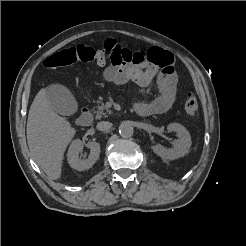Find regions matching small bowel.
<instances>
[{
	"mask_svg": "<svg viewBox=\"0 0 246 246\" xmlns=\"http://www.w3.org/2000/svg\"><path fill=\"white\" fill-rule=\"evenodd\" d=\"M110 56V65L105 69V80L117 85L134 82L141 87L148 86L155 78L158 95L151 101L139 99L134 104L141 116L161 114L172 108L177 95V75L174 71L173 55L161 48L132 52L115 40L105 42Z\"/></svg>",
	"mask_w": 246,
	"mask_h": 246,
	"instance_id": "1",
	"label": "small bowel"
}]
</instances>
